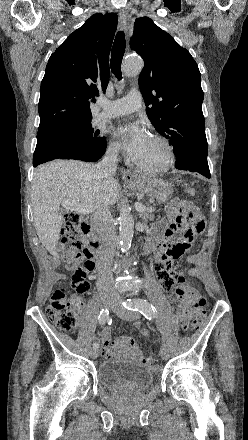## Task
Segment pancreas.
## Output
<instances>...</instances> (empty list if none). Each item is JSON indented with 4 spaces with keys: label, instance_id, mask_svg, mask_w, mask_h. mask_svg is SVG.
<instances>
[{
    "label": "pancreas",
    "instance_id": "1",
    "mask_svg": "<svg viewBox=\"0 0 248 440\" xmlns=\"http://www.w3.org/2000/svg\"><path fill=\"white\" fill-rule=\"evenodd\" d=\"M153 209L151 208H145L144 212H140V217L142 218L143 221L147 222L148 220H153L154 216H153Z\"/></svg>",
    "mask_w": 248,
    "mask_h": 440
}]
</instances>
